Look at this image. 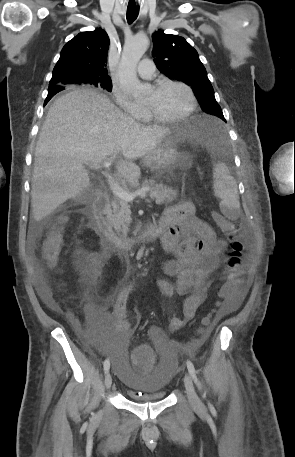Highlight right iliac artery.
<instances>
[{
  "label": "right iliac artery",
  "instance_id": "right-iliac-artery-1",
  "mask_svg": "<svg viewBox=\"0 0 295 457\" xmlns=\"http://www.w3.org/2000/svg\"><path fill=\"white\" fill-rule=\"evenodd\" d=\"M109 368H110V362H109L108 359H106L104 361V371H105V373H107L109 371Z\"/></svg>",
  "mask_w": 295,
  "mask_h": 457
}]
</instances>
